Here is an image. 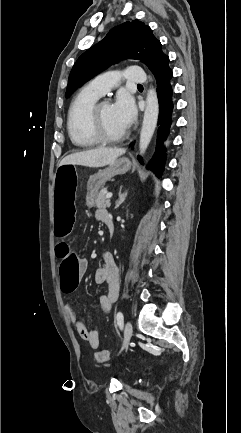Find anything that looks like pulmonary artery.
<instances>
[{
  "mask_svg": "<svg viewBox=\"0 0 241 433\" xmlns=\"http://www.w3.org/2000/svg\"><path fill=\"white\" fill-rule=\"evenodd\" d=\"M131 84L146 83V75L140 66H129L123 73L107 72L99 75L86 84V88L99 97L116 87L121 80Z\"/></svg>",
  "mask_w": 241,
  "mask_h": 433,
  "instance_id": "e3ab8cb5",
  "label": "pulmonary artery"
}]
</instances>
